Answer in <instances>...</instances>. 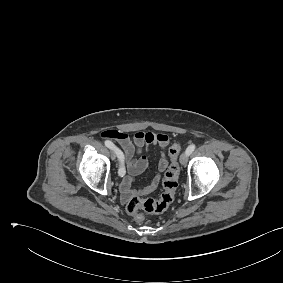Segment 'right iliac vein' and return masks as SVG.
<instances>
[{"label":"right iliac vein","instance_id":"63e3f726","mask_svg":"<svg viewBox=\"0 0 283 283\" xmlns=\"http://www.w3.org/2000/svg\"><path fill=\"white\" fill-rule=\"evenodd\" d=\"M111 159L114 161L116 159V153L114 150L111 151Z\"/></svg>","mask_w":283,"mask_h":283}]
</instances>
